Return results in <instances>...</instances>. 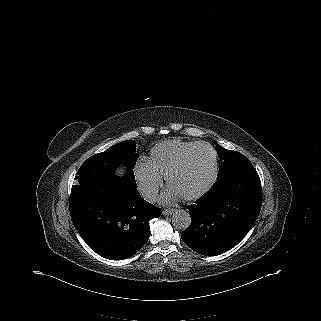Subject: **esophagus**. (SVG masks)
I'll return each mask as SVG.
<instances>
[{
    "mask_svg": "<svg viewBox=\"0 0 321 321\" xmlns=\"http://www.w3.org/2000/svg\"><path fill=\"white\" fill-rule=\"evenodd\" d=\"M174 212H175L174 209H164L163 210V215L169 216V215H172Z\"/></svg>",
    "mask_w": 321,
    "mask_h": 321,
    "instance_id": "1",
    "label": "esophagus"
}]
</instances>
